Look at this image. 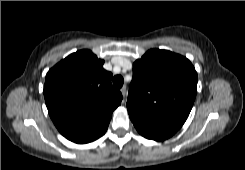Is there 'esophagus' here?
Returning <instances> with one entry per match:
<instances>
[{
	"label": "esophagus",
	"mask_w": 245,
	"mask_h": 170,
	"mask_svg": "<svg viewBox=\"0 0 245 170\" xmlns=\"http://www.w3.org/2000/svg\"><path fill=\"white\" fill-rule=\"evenodd\" d=\"M120 91H121V93L123 95V98L125 99V96H126V87L123 86Z\"/></svg>",
	"instance_id": "esophagus-1"
}]
</instances>
